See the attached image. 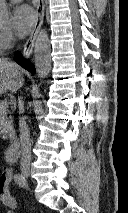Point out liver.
Here are the masks:
<instances>
[{
	"instance_id": "6515ba94",
	"label": "liver",
	"mask_w": 128,
	"mask_h": 213,
	"mask_svg": "<svg viewBox=\"0 0 128 213\" xmlns=\"http://www.w3.org/2000/svg\"><path fill=\"white\" fill-rule=\"evenodd\" d=\"M22 82L23 77L19 67L0 58V94L7 91L14 92L21 87Z\"/></svg>"
}]
</instances>
